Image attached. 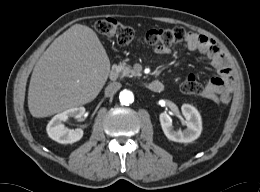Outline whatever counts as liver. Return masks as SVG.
I'll return each mask as SVG.
<instances>
[{"label": "liver", "mask_w": 260, "mask_h": 192, "mask_svg": "<svg viewBox=\"0 0 260 192\" xmlns=\"http://www.w3.org/2000/svg\"><path fill=\"white\" fill-rule=\"evenodd\" d=\"M110 60L97 34L75 24L56 38L37 61L28 89V108L42 118L94 100L105 85Z\"/></svg>", "instance_id": "liver-1"}]
</instances>
